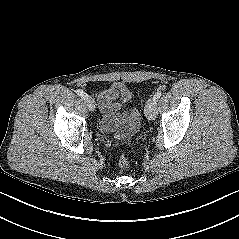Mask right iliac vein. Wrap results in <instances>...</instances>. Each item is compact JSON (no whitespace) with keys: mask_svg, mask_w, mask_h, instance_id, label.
<instances>
[{"mask_svg":"<svg viewBox=\"0 0 239 239\" xmlns=\"http://www.w3.org/2000/svg\"><path fill=\"white\" fill-rule=\"evenodd\" d=\"M83 100H84L85 104L87 105V107H88V109L90 111H94L95 110V102H94L93 98L90 95L84 94Z\"/></svg>","mask_w":239,"mask_h":239,"instance_id":"1","label":"right iliac vein"}]
</instances>
